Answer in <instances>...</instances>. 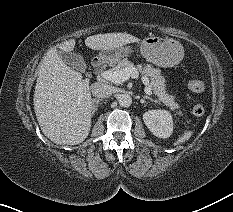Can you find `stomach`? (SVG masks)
Listing matches in <instances>:
<instances>
[{
    "label": "stomach",
    "mask_w": 233,
    "mask_h": 212,
    "mask_svg": "<svg viewBox=\"0 0 233 212\" xmlns=\"http://www.w3.org/2000/svg\"><path fill=\"white\" fill-rule=\"evenodd\" d=\"M130 46H120L114 50H102L100 56L105 60H115L131 53ZM141 54L147 61L161 67H173L179 64L184 56L182 45L171 38L150 36L141 42Z\"/></svg>",
    "instance_id": "1"
}]
</instances>
